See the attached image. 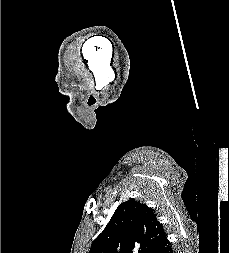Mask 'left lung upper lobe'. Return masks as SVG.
Here are the masks:
<instances>
[{"instance_id": "obj_1", "label": "left lung upper lobe", "mask_w": 229, "mask_h": 253, "mask_svg": "<svg viewBox=\"0 0 229 253\" xmlns=\"http://www.w3.org/2000/svg\"><path fill=\"white\" fill-rule=\"evenodd\" d=\"M165 237L153 210L128 200L117 207L89 253H154Z\"/></svg>"}]
</instances>
